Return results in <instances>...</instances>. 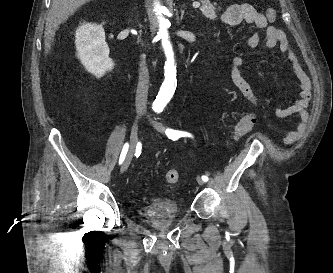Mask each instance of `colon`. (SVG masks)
<instances>
[{"instance_id": "5ec220e1", "label": "colon", "mask_w": 333, "mask_h": 273, "mask_svg": "<svg viewBox=\"0 0 333 273\" xmlns=\"http://www.w3.org/2000/svg\"><path fill=\"white\" fill-rule=\"evenodd\" d=\"M266 16L269 21L271 22L275 21L277 16L276 10L272 8L268 9L266 11ZM256 122H257L256 116L252 114H247L242 116L235 125L233 132L234 138L239 139L244 135L248 134L253 129ZM165 180L169 185L177 184L179 181V175L177 171L175 170L168 171L165 175Z\"/></svg>"}]
</instances>
